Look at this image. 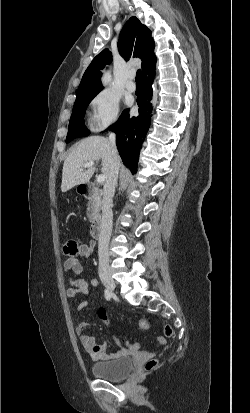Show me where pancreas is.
Returning <instances> with one entry per match:
<instances>
[{
  "instance_id": "1",
  "label": "pancreas",
  "mask_w": 250,
  "mask_h": 413,
  "mask_svg": "<svg viewBox=\"0 0 250 413\" xmlns=\"http://www.w3.org/2000/svg\"><path fill=\"white\" fill-rule=\"evenodd\" d=\"M100 209H101V200L98 196L93 195L87 206V216L90 222H95L99 218Z\"/></svg>"
}]
</instances>
